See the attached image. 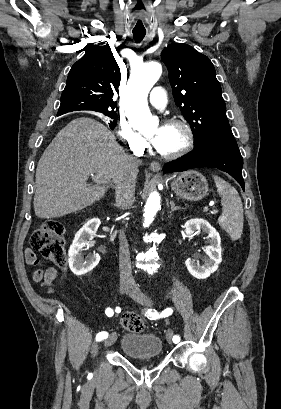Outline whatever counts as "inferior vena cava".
<instances>
[{
	"instance_id": "obj_1",
	"label": "inferior vena cava",
	"mask_w": 281,
	"mask_h": 409,
	"mask_svg": "<svg viewBox=\"0 0 281 409\" xmlns=\"http://www.w3.org/2000/svg\"><path fill=\"white\" fill-rule=\"evenodd\" d=\"M126 162L127 164H136V162H139V160L138 158H135V156H132V158H128ZM135 186L136 176H133V174L123 176L120 182H117L116 194L119 196V198H121V200H130L133 194H135ZM119 245L120 281H130V283H134L131 271L129 245L127 243L124 231H120Z\"/></svg>"
}]
</instances>
